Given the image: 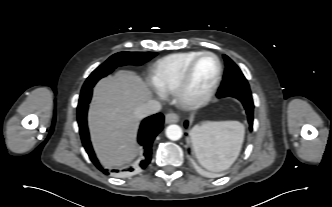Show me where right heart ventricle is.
Masks as SVG:
<instances>
[{"label":"right heart ventricle","mask_w":332,"mask_h":207,"mask_svg":"<svg viewBox=\"0 0 332 207\" xmlns=\"http://www.w3.org/2000/svg\"><path fill=\"white\" fill-rule=\"evenodd\" d=\"M200 53L202 52H181L159 59L151 70L150 79L153 86L163 94L174 92L186 67Z\"/></svg>","instance_id":"e07e8e85"}]
</instances>
